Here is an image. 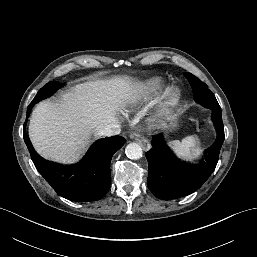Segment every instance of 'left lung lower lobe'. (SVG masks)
Segmentation results:
<instances>
[{
  "label": "left lung lower lobe",
  "instance_id": "obj_1",
  "mask_svg": "<svg viewBox=\"0 0 257 257\" xmlns=\"http://www.w3.org/2000/svg\"><path fill=\"white\" fill-rule=\"evenodd\" d=\"M212 120L217 138L208 148L205 158L196 164L178 159L162 134L152 138L153 148L146 153L149 164L147 185L157 198L171 200L187 196L199 189L212 174L224 141L221 109L213 110Z\"/></svg>",
  "mask_w": 257,
  "mask_h": 257
}]
</instances>
